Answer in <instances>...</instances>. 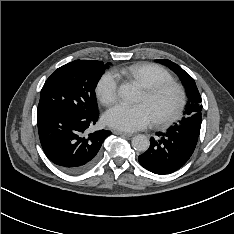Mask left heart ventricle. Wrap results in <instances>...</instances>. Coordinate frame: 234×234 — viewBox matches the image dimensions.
I'll return each mask as SVG.
<instances>
[{
  "label": "left heart ventricle",
  "instance_id": "b2bd125f",
  "mask_svg": "<svg viewBox=\"0 0 234 234\" xmlns=\"http://www.w3.org/2000/svg\"><path fill=\"white\" fill-rule=\"evenodd\" d=\"M177 94L174 90H166L153 99H147L142 93L139 102L145 104L150 110L153 119L160 118L169 113L175 106Z\"/></svg>",
  "mask_w": 234,
  "mask_h": 234
}]
</instances>
